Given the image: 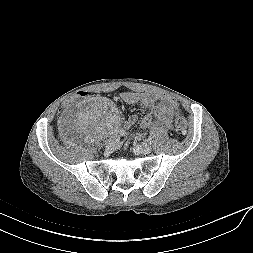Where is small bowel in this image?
<instances>
[{
	"instance_id": "obj_1",
	"label": "small bowel",
	"mask_w": 253,
	"mask_h": 253,
	"mask_svg": "<svg viewBox=\"0 0 253 253\" xmlns=\"http://www.w3.org/2000/svg\"><path fill=\"white\" fill-rule=\"evenodd\" d=\"M121 99L127 104H140L145 108H151V113L146 114L140 123V128L145 131L158 127L171 128L173 118L180 112L178 101L171 97L160 98L154 94L125 92ZM136 122L137 117L132 115L124 122L122 129L127 130ZM135 137L141 138L142 133L137 132Z\"/></svg>"
}]
</instances>
